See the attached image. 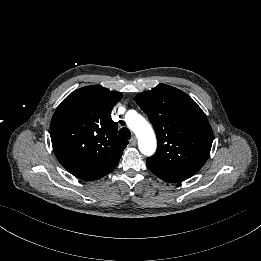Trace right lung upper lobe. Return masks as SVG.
<instances>
[{"label": "right lung upper lobe", "mask_w": 261, "mask_h": 261, "mask_svg": "<svg viewBox=\"0 0 261 261\" xmlns=\"http://www.w3.org/2000/svg\"><path fill=\"white\" fill-rule=\"evenodd\" d=\"M122 93L100 85L73 91L56 109L50 125L53 150L61 165L83 180L112 171L128 141L117 135L110 113Z\"/></svg>", "instance_id": "cb5924a9"}]
</instances>
